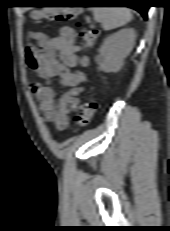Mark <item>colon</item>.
Listing matches in <instances>:
<instances>
[{
    "instance_id": "5ec220e1",
    "label": "colon",
    "mask_w": 170,
    "mask_h": 231,
    "mask_svg": "<svg viewBox=\"0 0 170 231\" xmlns=\"http://www.w3.org/2000/svg\"><path fill=\"white\" fill-rule=\"evenodd\" d=\"M79 10L77 8H44L33 12V17L38 20H57L67 21L73 20L78 15ZM79 38L87 46H91L95 43L98 36V29L95 26L87 28L79 26L78 32ZM97 109V102L94 97L87 98L79 107L77 114L74 117V122L77 126H85L92 119Z\"/></svg>"
}]
</instances>
